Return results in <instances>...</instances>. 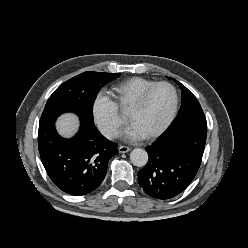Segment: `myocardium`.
<instances>
[{"instance_id":"myocardium-1","label":"myocardium","mask_w":248,"mask_h":248,"mask_svg":"<svg viewBox=\"0 0 248 248\" xmlns=\"http://www.w3.org/2000/svg\"><path fill=\"white\" fill-rule=\"evenodd\" d=\"M159 86H167L169 87L172 92H173V106L171 109V112L168 116V118L166 119V121L154 132H152L149 135L144 136L145 139L147 140H151V139H155L157 137H159L160 135H162L168 128L169 126L172 124V122L174 121L177 111H178V104H179V96H178V92L177 89L175 88V86L169 82L166 81H160V82H155L152 85H150L148 88H146L136 99V101L130 106V108L127 111V119L130 122V115L140 111L143 106L146 103V100L148 98V96L150 95V93L157 87Z\"/></svg>"}]
</instances>
